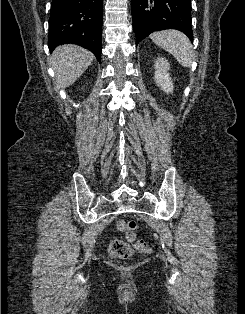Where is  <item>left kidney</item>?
<instances>
[{
    "mask_svg": "<svg viewBox=\"0 0 245 314\" xmlns=\"http://www.w3.org/2000/svg\"><path fill=\"white\" fill-rule=\"evenodd\" d=\"M155 75L154 79L157 84L165 93H172L174 90L173 83L171 81L170 74L168 70L170 65L165 58H158L155 62Z\"/></svg>",
    "mask_w": 245,
    "mask_h": 314,
    "instance_id": "5707ae66",
    "label": "left kidney"
}]
</instances>
